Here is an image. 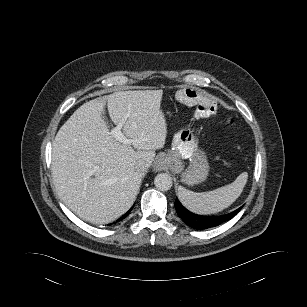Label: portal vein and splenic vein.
Masks as SVG:
<instances>
[{"label":"portal vein and splenic vein","instance_id":"18ae733b","mask_svg":"<svg viewBox=\"0 0 307 307\" xmlns=\"http://www.w3.org/2000/svg\"><path fill=\"white\" fill-rule=\"evenodd\" d=\"M122 124L117 125L114 129L111 130L110 134L115 137L119 142L124 144H130L132 141L121 132Z\"/></svg>","mask_w":307,"mask_h":307}]
</instances>
